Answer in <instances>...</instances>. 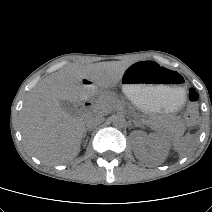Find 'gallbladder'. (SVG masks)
<instances>
[{"label": "gallbladder", "mask_w": 212, "mask_h": 212, "mask_svg": "<svg viewBox=\"0 0 212 212\" xmlns=\"http://www.w3.org/2000/svg\"><path fill=\"white\" fill-rule=\"evenodd\" d=\"M60 106L65 112H67L71 115L76 112V105L72 102L67 101V100L60 101Z\"/></svg>", "instance_id": "bac80fb5"}]
</instances>
